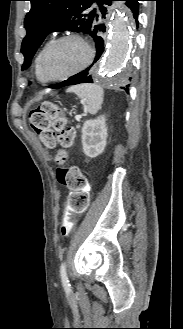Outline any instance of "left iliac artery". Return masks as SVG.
Returning a JSON list of instances; mask_svg holds the SVG:
<instances>
[{
	"label": "left iliac artery",
	"instance_id": "1",
	"mask_svg": "<svg viewBox=\"0 0 183 329\" xmlns=\"http://www.w3.org/2000/svg\"><path fill=\"white\" fill-rule=\"evenodd\" d=\"M60 276H61V281H62V285H63L64 289L66 291H70L71 285H70L69 280H68L65 262L61 263Z\"/></svg>",
	"mask_w": 183,
	"mask_h": 329
}]
</instances>
